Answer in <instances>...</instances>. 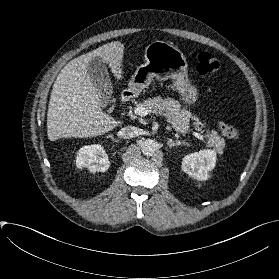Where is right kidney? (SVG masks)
Listing matches in <instances>:
<instances>
[{"mask_svg":"<svg viewBox=\"0 0 279 279\" xmlns=\"http://www.w3.org/2000/svg\"><path fill=\"white\" fill-rule=\"evenodd\" d=\"M76 166L80 169L88 168L92 173L105 172L110 166V161L101 145H85L77 152Z\"/></svg>","mask_w":279,"mask_h":279,"instance_id":"right-kidney-1","label":"right kidney"}]
</instances>
